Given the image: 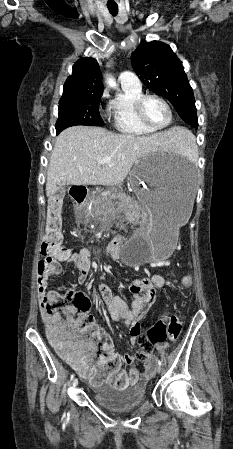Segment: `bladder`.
Here are the masks:
<instances>
[{
  "label": "bladder",
  "mask_w": 233,
  "mask_h": 449,
  "mask_svg": "<svg viewBox=\"0 0 233 449\" xmlns=\"http://www.w3.org/2000/svg\"><path fill=\"white\" fill-rule=\"evenodd\" d=\"M95 403L112 412H125L138 408L146 396L145 387L118 389L109 385H99L92 388Z\"/></svg>",
  "instance_id": "bladder-1"
}]
</instances>
